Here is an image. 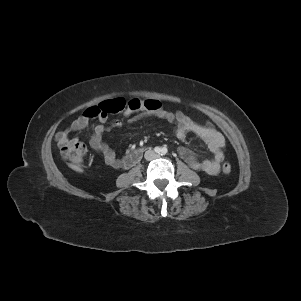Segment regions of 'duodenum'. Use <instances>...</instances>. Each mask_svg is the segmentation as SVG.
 Wrapping results in <instances>:
<instances>
[{
  "instance_id": "410a0bca",
  "label": "duodenum",
  "mask_w": 301,
  "mask_h": 301,
  "mask_svg": "<svg viewBox=\"0 0 301 301\" xmlns=\"http://www.w3.org/2000/svg\"><path fill=\"white\" fill-rule=\"evenodd\" d=\"M143 150L136 149L125 156V167L129 168L139 162L142 157Z\"/></svg>"
}]
</instances>
